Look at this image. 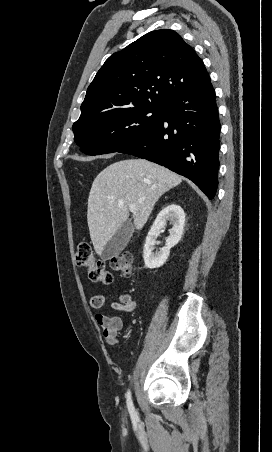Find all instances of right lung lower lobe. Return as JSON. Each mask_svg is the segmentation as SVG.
Instances as JSON below:
<instances>
[{
  "instance_id": "obj_1",
  "label": "right lung lower lobe",
  "mask_w": 272,
  "mask_h": 452,
  "mask_svg": "<svg viewBox=\"0 0 272 452\" xmlns=\"http://www.w3.org/2000/svg\"><path fill=\"white\" fill-rule=\"evenodd\" d=\"M219 134L215 91L209 79L166 103L158 121L118 152L165 166L213 199L218 186Z\"/></svg>"
}]
</instances>
